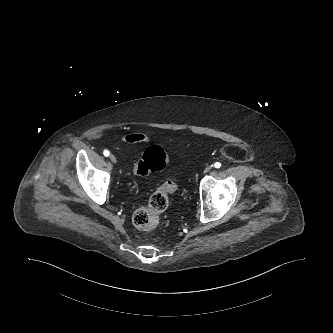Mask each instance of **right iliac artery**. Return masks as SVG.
<instances>
[{"label": "right iliac artery", "instance_id": "82829eb1", "mask_svg": "<svg viewBox=\"0 0 333 333\" xmlns=\"http://www.w3.org/2000/svg\"><path fill=\"white\" fill-rule=\"evenodd\" d=\"M103 154L104 156L108 157L110 155V152L108 150H104Z\"/></svg>", "mask_w": 333, "mask_h": 333}]
</instances>
